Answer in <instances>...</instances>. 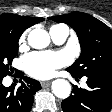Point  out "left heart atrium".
Here are the masks:
<instances>
[{
    "instance_id": "obj_1",
    "label": "left heart atrium",
    "mask_w": 112,
    "mask_h": 112,
    "mask_svg": "<svg viewBox=\"0 0 112 112\" xmlns=\"http://www.w3.org/2000/svg\"><path fill=\"white\" fill-rule=\"evenodd\" d=\"M69 63L68 55L63 52H32L25 55L22 65L26 73L34 78L44 79L51 77L55 71Z\"/></svg>"
}]
</instances>
